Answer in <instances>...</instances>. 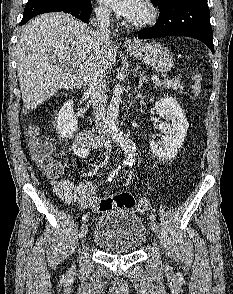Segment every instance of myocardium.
Here are the masks:
<instances>
[{"instance_id": "obj_1", "label": "myocardium", "mask_w": 233, "mask_h": 294, "mask_svg": "<svg viewBox=\"0 0 233 294\" xmlns=\"http://www.w3.org/2000/svg\"><path fill=\"white\" fill-rule=\"evenodd\" d=\"M144 14L140 19L131 20L129 24L136 28H143L153 24L157 19V10L148 0L143 3Z\"/></svg>"}]
</instances>
